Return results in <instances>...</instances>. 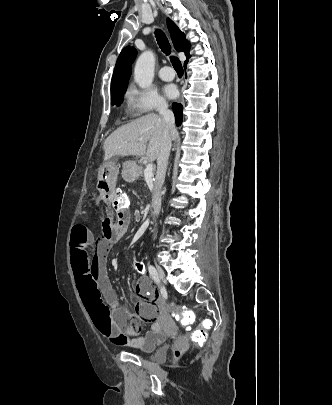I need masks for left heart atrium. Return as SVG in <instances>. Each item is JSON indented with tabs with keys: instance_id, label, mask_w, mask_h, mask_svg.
<instances>
[{
	"instance_id": "1",
	"label": "left heart atrium",
	"mask_w": 332,
	"mask_h": 405,
	"mask_svg": "<svg viewBox=\"0 0 332 405\" xmlns=\"http://www.w3.org/2000/svg\"><path fill=\"white\" fill-rule=\"evenodd\" d=\"M163 90L165 95L169 98H174L177 95V89L172 84L166 85Z\"/></svg>"
}]
</instances>
